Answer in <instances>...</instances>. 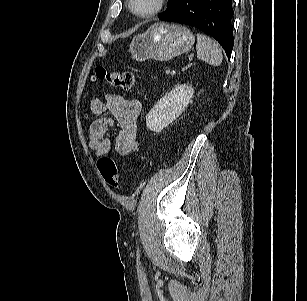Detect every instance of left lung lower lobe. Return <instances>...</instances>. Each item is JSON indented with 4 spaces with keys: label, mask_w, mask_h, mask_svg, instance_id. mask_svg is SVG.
Here are the masks:
<instances>
[{
    "label": "left lung lower lobe",
    "mask_w": 307,
    "mask_h": 301,
    "mask_svg": "<svg viewBox=\"0 0 307 301\" xmlns=\"http://www.w3.org/2000/svg\"><path fill=\"white\" fill-rule=\"evenodd\" d=\"M234 11L231 0H180L160 20L194 26L215 38L231 57L234 38L231 19Z\"/></svg>",
    "instance_id": "0a47b994"
}]
</instances>
